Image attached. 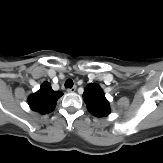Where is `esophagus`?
<instances>
[{
    "mask_svg": "<svg viewBox=\"0 0 163 163\" xmlns=\"http://www.w3.org/2000/svg\"><path fill=\"white\" fill-rule=\"evenodd\" d=\"M75 91H76V86L67 89V92H68V93H73V92H75Z\"/></svg>",
    "mask_w": 163,
    "mask_h": 163,
    "instance_id": "34e87169",
    "label": "esophagus"
}]
</instances>
